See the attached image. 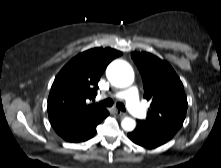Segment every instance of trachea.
I'll return each instance as SVG.
<instances>
[{"mask_svg": "<svg viewBox=\"0 0 221 168\" xmlns=\"http://www.w3.org/2000/svg\"><path fill=\"white\" fill-rule=\"evenodd\" d=\"M100 104L102 106L111 107L113 105V100L112 99H105V100L101 101ZM116 106L121 111H125V106L123 103H117Z\"/></svg>", "mask_w": 221, "mask_h": 168, "instance_id": "1", "label": "trachea"}]
</instances>
